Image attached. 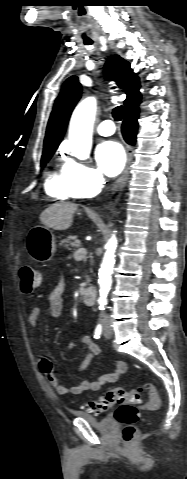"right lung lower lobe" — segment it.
<instances>
[{"label":"right lung lower lobe","mask_w":187,"mask_h":479,"mask_svg":"<svg viewBox=\"0 0 187 479\" xmlns=\"http://www.w3.org/2000/svg\"><path fill=\"white\" fill-rule=\"evenodd\" d=\"M138 114L139 108L138 106L127 109L124 122L122 124V134L125 141L128 144H134L136 140V134L138 129Z\"/></svg>","instance_id":"1"}]
</instances>
